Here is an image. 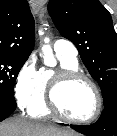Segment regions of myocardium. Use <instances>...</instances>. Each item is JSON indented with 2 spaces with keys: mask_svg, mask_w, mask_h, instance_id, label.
<instances>
[{
  "mask_svg": "<svg viewBox=\"0 0 117 136\" xmlns=\"http://www.w3.org/2000/svg\"><path fill=\"white\" fill-rule=\"evenodd\" d=\"M76 81H84L93 89L96 96V109L92 116L85 119H78L66 114L61 106L59 96L61 91L69 84ZM47 106L54 115L65 121L75 124H89L99 118L103 109V97L98 85L85 73L77 70L62 69L59 70L51 79L47 92Z\"/></svg>",
  "mask_w": 117,
  "mask_h": 136,
  "instance_id": "obj_1",
  "label": "myocardium"
}]
</instances>
